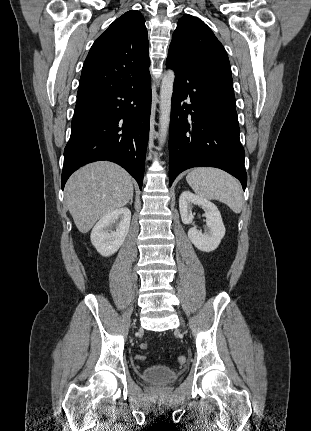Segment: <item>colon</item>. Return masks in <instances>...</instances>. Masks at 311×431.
I'll return each instance as SVG.
<instances>
[{"label": "colon", "instance_id": "colon-1", "mask_svg": "<svg viewBox=\"0 0 311 431\" xmlns=\"http://www.w3.org/2000/svg\"><path fill=\"white\" fill-rule=\"evenodd\" d=\"M140 348H141L142 350H146V349L148 348V345H147L146 343H142V344L140 345ZM136 359H137L138 361H145V360H146V356H145V355H142V354H139V355H137V356H136ZM177 363H178L179 365H184V364L186 363V358H185L184 356H179V357L177 358Z\"/></svg>", "mask_w": 311, "mask_h": 431}]
</instances>
